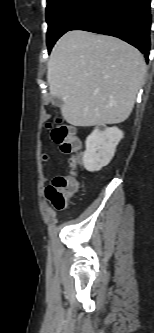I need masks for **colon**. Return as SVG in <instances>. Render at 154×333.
I'll use <instances>...</instances> for the list:
<instances>
[{"label": "colon", "instance_id": "5ec220e1", "mask_svg": "<svg viewBox=\"0 0 154 333\" xmlns=\"http://www.w3.org/2000/svg\"><path fill=\"white\" fill-rule=\"evenodd\" d=\"M52 140L59 145L60 150L70 155L69 163L71 170L66 175H59L53 179L45 189L47 200L56 208L63 209L67 201L78 190L77 169L80 165V140L75 129L67 124H48ZM47 159V155H43Z\"/></svg>", "mask_w": 154, "mask_h": 333}]
</instances>
